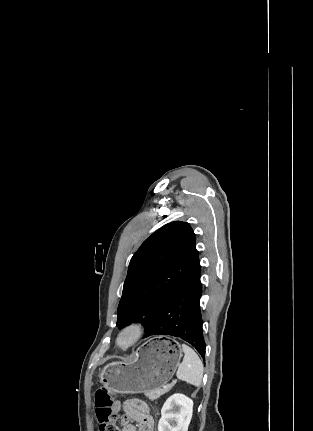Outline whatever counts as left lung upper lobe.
Segmentation results:
<instances>
[{
  "mask_svg": "<svg viewBox=\"0 0 313 431\" xmlns=\"http://www.w3.org/2000/svg\"><path fill=\"white\" fill-rule=\"evenodd\" d=\"M190 224L168 223L147 238L131 258L117 310L121 329L140 322L145 331L163 306L200 269Z\"/></svg>",
  "mask_w": 313,
  "mask_h": 431,
  "instance_id": "5c2ea615",
  "label": "left lung upper lobe"
}]
</instances>
